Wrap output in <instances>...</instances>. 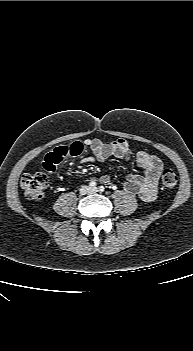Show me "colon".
<instances>
[{
  "mask_svg": "<svg viewBox=\"0 0 193 351\" xmlns=\"http://www.w3.org/2000/svg\"><path fill=\"white\" fill-rule=\"evenodd\" d=\"M161 182L165 188H174L178 182L176 173L171 169L164 170ZM47 184L48 178L44 173L25 174L21 178V188L26 197L32 200L43 197Z\"/></svg>",
  "mask_w": 193,
  "mask_h": 351,
  "instance_id": "1",
  "label": "colon"
}]
</instances>
